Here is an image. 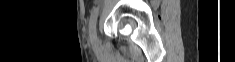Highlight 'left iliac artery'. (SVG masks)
I'll return each mask as SVG.
<instances>
[{
    "mask_svg": "<svg viewBox=\"0 0 235 62\" xmlns=\"http://www.w3.org/2000/svg\"><path fill=\"white\" fill-rule=\"evenodd\" d=\"M99 14V6L95 7L91 12L90 19H89V32L96 28V21Z\"/></svg>",
    "mask_w": 235,
    "mask_h": 62,
    "instance_id": "1",
    "label": "left iliac artery"
}]
</instances>
